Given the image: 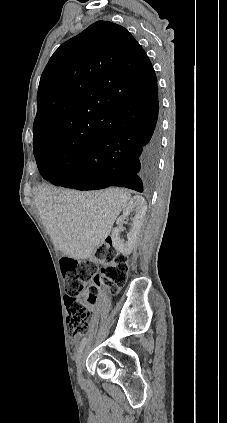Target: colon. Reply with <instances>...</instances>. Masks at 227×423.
<instances>
[{
    "instance_id": "obj_1",
    "label": "colon",
    "mask_w": 227,
    "mask_h": 423,
    "mask_svg": "<svg viewBox=\"0 0 227 423\" xmlns=\"http://www.w3.org/2000/svg\"><path fill=\"white\" fill-rule=\"evenodd\" d=\"M61 269L65 282L66 327L73 341L89 329L90 307L97 299L98 287L107 284L116 292L125 284L128 260L110 242H104L89 260L62 259Z\"/></svg>"
}]
</instances>
